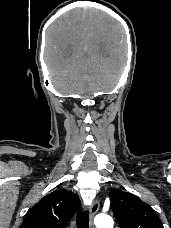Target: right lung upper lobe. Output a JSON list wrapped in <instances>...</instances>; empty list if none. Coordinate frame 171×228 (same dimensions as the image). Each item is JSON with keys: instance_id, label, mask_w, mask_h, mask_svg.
Wrapping results in <instances>:
<instances>
[{"instance_id": "obj_1", "label": "right lung upper lobe", "mask_w": 171, "mask_h": 228, "mask_svg": "<svg viewBox=\"0 0 171 228\" xmlns=\"http://www.w3.org/2000/svg\"><path fill=\"white\" fill-rule=\"evenodd\" d=\"M79 207L80 200L75 194L56 190L28 211L19 228H65Z\"/></svg>"}]
</instances>
